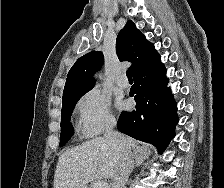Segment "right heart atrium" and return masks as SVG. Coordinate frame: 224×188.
Listing matches in <instances>:
<instances>
[{
    "instance_id": "d8ad5b80",
    "label": "right heart atrium",
    "mask_w": 224,
    "mask_h": 188,
    "mask_svg": "<svg viewBox=\"0 0 224 188\" xmlns=\"http://www.w3.org/2000/svg\"><path fill=\"white\" fill-rule=\"evenodd\" d=\"M77 111L82 132L88 137L99 136L116 124L110 98L99 90L86 92L77 103Z\"/></svg>"
}]
</instances>
